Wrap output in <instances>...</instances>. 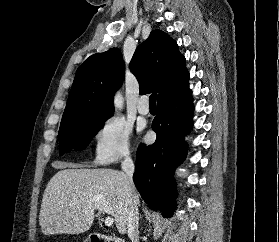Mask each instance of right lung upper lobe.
I'll list each match as a JSON object with an SVG mask.
<instances>
[{
  "instance_id": "cb5924a9",
  "label": "right lung upper lobe",
  "mask_w": 279,
  "mask_h": 242,
  "mask_svg": "<svg viewBox=\"0 0 279 242\" xmlns=\"http://www.w3.org/2000/svg\"><path fill=\"white\" fill-rule=\"evenodd\" d=\"M130 69L140 84V92H158V101L188 86L185 57L176 42L161 30L152 31L136 48ZM123 76L124 62L118 48L87 58L76 72L60 126L112 116L113 97Z\"/></svg>"
}]
</instances>
